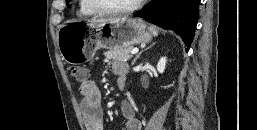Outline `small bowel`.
I'll return each instance as SVG.
<instances>
[{
  "mask_svg": "<svg viewBox=\"0 0 257 130\" xmlns=\"http://www.w3.org/2000/svg\"><path fill=\"white\" fill-rule=\"evenodd\" d=\"M111 70L116 75V85L121 88L126 82L128 65L123 62L111 63ZM80 106L83 120L87 130H104V115L101 105L102 97L99 88L90 80L80 84ZM121 114L125 120L123 130H141V122L136 117L132 105L123 101L120 106Z\"/></svg>",
  "mask_w": 257,
  "mask_h": 130,
  "instance_id": "c3829d8e",
  "label": "small bowel"
}]
</instances>
